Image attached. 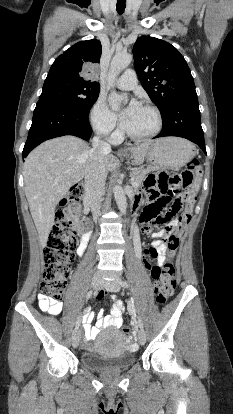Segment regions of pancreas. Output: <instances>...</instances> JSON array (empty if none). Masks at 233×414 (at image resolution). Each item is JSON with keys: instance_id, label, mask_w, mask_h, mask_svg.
Wrapping results in <instances>:
<instances>
[{"instance_id": "obj_1", "label": "pancreas", "mask_w": 233, "mask_h": 414, "mask_svg": "<svg viewBox=\"0 0 233 414\" xmlns=\"http://www.w3.org/2000/svg\"><path fill=\"white\" fill-rule=\"evenodd\" d=\"M151 170H152L151 168L142 169V170H133L130 173L131 178L133 179L131 181V183H135V186H133V187L138 188L141 185V183H142L144 177L146 176V174L148 172H150Z\"/></svg>"}]
</instances>
